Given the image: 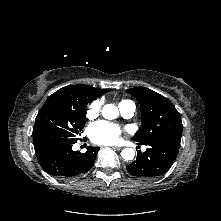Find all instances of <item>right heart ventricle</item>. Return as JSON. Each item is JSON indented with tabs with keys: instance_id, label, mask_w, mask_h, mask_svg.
<instances>
[{
	"instance_id": "1",
	"label": "right heart ventricle",
	"mask_w": 221,
	"mask_h": 221,
	"mask_svg": "<svg viewBox=\"0 0 221 221\" xmlns=\"http://www.w3.org/2000/svg\"><path fill=\"white\" fill-rule=\"evenodd\" d=\"M129 101L128 100H121L120 102H119V106H121V105H123V104H126V103H128Z\"/></svg>"
}]
</instances>
